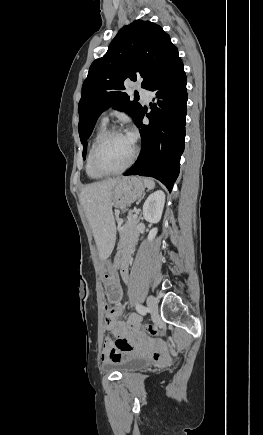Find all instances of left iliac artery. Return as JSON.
<instances>
[{
    "label": "left iliac artery",
    "mask_w": 263,
    "mask_h": 435,
    "mask_svg": "<svg viewBox=\"0 0 263 435\" xmlns=\"http://www.w3.org/2000/svg\"><path fill=\"white\" fill-rule=\"evenodd\" d=\"M136 310L142 315H146L147 313V308L138 303L136 304Z\"/></svg>",
    "instance_id": "obj_1"
}]
</instances>
